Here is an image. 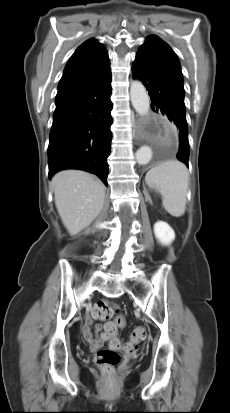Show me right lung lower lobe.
<instances>
[{"label":"right lung lower lobe","mask_w":230,"mask_h":413,"mask_svg":"<svg viewBox=\"0 0 230 413\" xmlns=\"http://www.w3.org/2000/svg\"><path fill=\"white\" fill-rule=\"evenodd\" d=\"M111 72L58 90L48 147L49 177L75 168L98 175L107 186L112 134Z\"/></svg>","instance_id":"obj_1"}]
</instances>
